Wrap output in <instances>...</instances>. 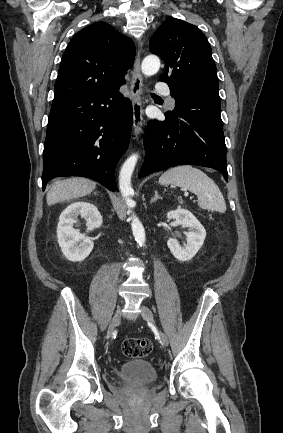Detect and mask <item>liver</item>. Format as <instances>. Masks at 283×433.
I'll return each instance as SVG.
<instances>
[{
  "label": "liver",
  "instance_id": "liver-1",
  "mask_svg": "<svg viewBox=\"0 0 283 433\" xmlns=\"http://www.w3.org/2000/svg\"><path fill=\"white\" fill-rule=\"evenodd\" d=\"M96 188V182L88 180V178H65V180H56L53 182L50 190L47 192V204H55L62 200H71V198H79L86 196Z\"/></svg>",
  "mask_w": 283,
  "mask_h": 433
}]
</instances>
